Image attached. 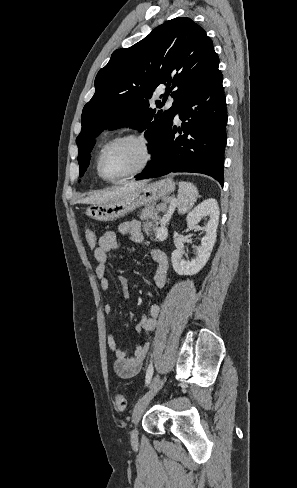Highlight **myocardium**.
<instances>
[{
    "mask_svg": "<svg viewBox=\"0 0 297 488\" xmlns=\"http://www.w3.org/2000/svg\"><path fill=\"white\" fill-rule=\"evenodd\" d=\"M126 140H135L141 143V145L144 148L145 156L142 162L133 170L122 174L120 176L116 177H108L105 175L104 170H103V159L106 154V152L114 145L126 141ZM154 147L153 143L151 140L143 133H138V132H130L126 134L119 135L117 137H114L113 139L109 140L101 149L100 154L97 159V170L100 175V177L108 182H117L123 179H127L130 177H133L142 171L146 170L150 164L152 163L154 159Z\"/></svg>",
    "mask_w": 297,
    "mask_h": 488,
    "instance_id": "f54148a6",
    "label": "myocardium"
}]
</instances>
